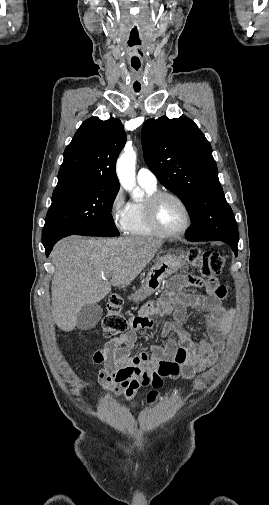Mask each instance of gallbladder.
Wrapping results in <instances>:
<instances>
[{"label": "gallbladder", "mask_w": 269, "mask_h": 505, "mask_svg": "<svg viewBox=\"0 0 269 505\" xmlns=\"http://www.w3.org/2000/svg\"><path fill=\"white\" fill-rule=\"evenodd\" d=\"M103 314V309L97 303L83 306L78 314L77 328L90 330L95 327Z\"/></svg>", "instance_id": "1"}]
</instances>
